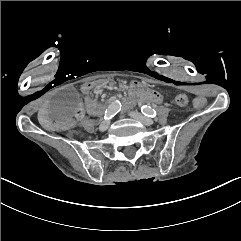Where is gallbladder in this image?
I'll use <instances>...</instances> for the list:
<instances>
[{
  "label": "gallbladder",
  "mask_w": 241,
  "mask_h": 241,
  "mask_svg": "<svg viewBox=\"0 0 241 241\" xmlns=\"http://www.w3.org/2000/svg\"><path fill=\"white\" fill-rule=\"evenodd\" d=\"M79 95V90L75 86H65L48 101V110L58 119H70L78 107Z\"/></svg>",
  "instance_id": "obj_1"
}]
</instances>
